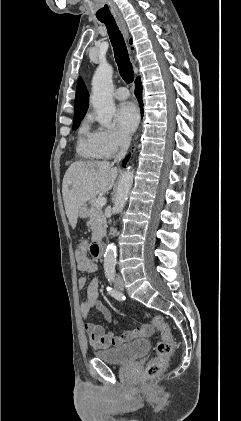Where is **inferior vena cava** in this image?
I'll return each instance as SVG.
<instances>
[{
    "instance_id": "602c4592",
    "label": "inferior vena cava",
    "mask_w": 241,
    "mask_h": 421,
    "mask_svg": "<svg viewBox=\"0 0 241 421\" xmlns=\"http://www.w3.org/2000/svg\"><path fill=\"white\" fill-rule=\"evenodd\" d=\"M130 141H131V138L129 136H122L121 137V139H120V151L117 154L113 164L124 158V156L127 153L128 148L130 146Z\"/></svg>"
}]
</instances>
